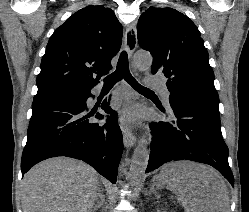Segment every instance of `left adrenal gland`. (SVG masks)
<instances>
[{"label": "left adrenal gland", "instance_id": "obj_1", "mask_svg": "<svg viewBox=\"0 0 249 212\" xmlns=\"http://www.w3.org/2000/svg\"><path fill=\"white\" fill-rule=\"evenodd\" d=\"M153 192H154L153 188H150V190L148 192L149 196H150V194H153Z\"/></svg>", "mask_w": 249, "mask_h": 212}]
</instances>
